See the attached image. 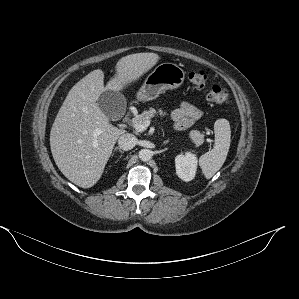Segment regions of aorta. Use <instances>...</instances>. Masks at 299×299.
<instances>
[{
  "mask_svg": "<svg viewBox=\"0 0 299 299\" xmlns=\"http://www.w3.org/2000/svg\"><path fill=\"white\" fill-rule=\"evenodd\" d=\"M152 156L153 152L149 149H142L139 151V158L144 162L151 160Z\"/></svg>",
  "mask_w": 299,
  "mask_h": 299,
  "instance_id": "762f6f07",
  "label": "aorta"
}]
</instances>
